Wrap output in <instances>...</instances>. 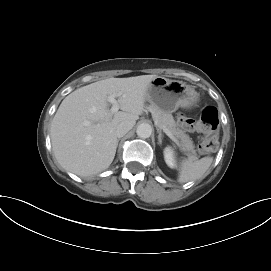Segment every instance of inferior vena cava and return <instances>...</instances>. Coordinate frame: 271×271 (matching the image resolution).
<instances>
[{
	"instance_id": "1",
	"label": "inferior vena cava",
	"mask_w": 271,
	"mask_h": 271,
	"mask_svg": "<svg viewBox=\"0 0 271 271\" xmlns=\"http://www.w3.org/2000/svg\"><path fill=\"white\" fill-rule=\"evenodd\" d=\"M133 126L132 122H121L116 128V136L118 138L123 137Z\"/></svg>"
}]
</instances>
